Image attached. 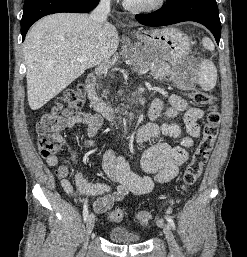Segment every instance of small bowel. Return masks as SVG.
I'll return each mask as SVG.
<instances>
[{"mask_svg":"<svg viewBox=\"0 0 247 257\" xmlns=\"http://www.w3.org/2000/svg\"><path fill=\"white\" fill-rule=\"evenodd\" d=\"M183 113V119L187 136L182 135L181 128L170 119ZM150 122L142 125L135 133V140L143 143L149 139L159 137H171L179 139L177 146H171L165 142H158L148 148L142 155L141 166L143 170L153 175L140 176L133 172L124 157L116 155L113 150H108L102 158V171L104 175L117 183L116 190L111 191L109 186L102 183H91L85 180L82 173L76 169L77 156L70 145L60 137L61 148L67 151L71 162L75 167V185L81 194L87 196L102 195L97 198L92 206L96 213H104L112 208L115 202L121 201L129 193L144 195L152 191L154 182L166 183L174 179L179 167L188 159L187 149L192 147L193 139L200 134L198 121L203 117V111L199 108L189 107L179 96L172 95L169 98V106L165 107L161 99H155L149 110ZM164 118L166 121L159 123ZM69 128L85 126L90 137L89 144H93L100 129L101 120L98 116L79 112L67 121ZM51 167H57L56 174L61 186L68 195L74 194V186L68 179L69 168L60 164L57 155L46 158Z\"/></svg>","mask_w":247,"mask_h":257,"instance_id":"1","label":"small bowel"}]
</instances>
